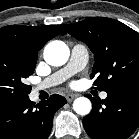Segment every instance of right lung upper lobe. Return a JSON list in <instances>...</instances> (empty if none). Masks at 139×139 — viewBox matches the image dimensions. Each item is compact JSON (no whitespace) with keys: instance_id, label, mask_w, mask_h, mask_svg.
Masks as SVG:
<instances>
[{"instance_id":"obj_1","label":"right lung upper lobe","mask_w":139,"mask_h":139,"mask_svg":"<svg viewBox=\"0 0 139 139\" xmlns=\"http://www.w3.org/2000/svg\"><path fill=\"white\" fill-rule=\"evenodd\" d=\"M66 34L56 25H9L0 29V46L12 47L37 59L38 51L57 35Z\"/></svg>"}]
</instances>
